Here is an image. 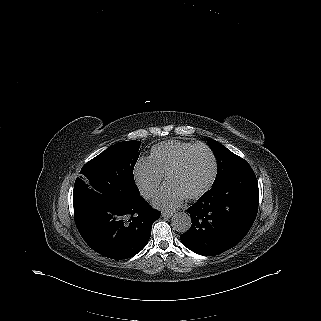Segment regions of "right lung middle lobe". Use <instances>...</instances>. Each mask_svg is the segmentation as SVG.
<instances>
[{
    "label": "right lung middle lobe",
    "instance_id": "dd1d6c3e",
    "mask_svg": "<svg viewBox=\"0 0 321 321\" xmlns=\"http://www.w3.org/2000/svg\"><path fill=\"white\" fill-rule=\"evenodd\" d=\"M140 145L135 140L119 142L87 162L75 181L73 205L105 199L129 201L140 196L133 176Z\"/></svg>",
    "mask_w": 321,
    "mask_h": 321
}]
</instances>
